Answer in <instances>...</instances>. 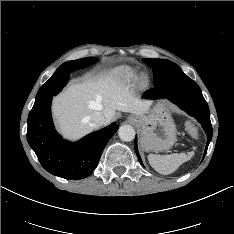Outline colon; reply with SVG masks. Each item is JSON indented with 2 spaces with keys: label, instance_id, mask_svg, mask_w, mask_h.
Instances as JSON below:
<instances>
[{
  "label": "colon",
  "instance_id": "colon-1",
  "mask_svg": "<svg viewBox=\"0 0 234 234\" xmlns=\"http://www.w3.org/2000/svg\"><path fill=\"white\" fill-rule=\"evenodd\" d=\"M186 130L193 138H196V139L199 138V131L193 123L187 122L186 123Z\"/></svg>",
  "mask_w": 234,
  "mask_h": 234
}]
</instances>
